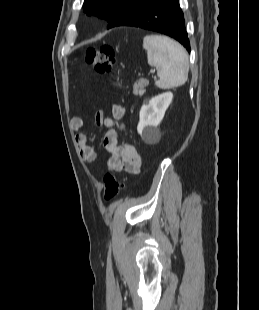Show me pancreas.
<instances>
[{
    "label": "pancreas",
    "instance_id": "obj_1",
    "mask_svg": "<svg viewBox=\"0 0 259 310\" xmlns=\"http://www.w3.org/2000/svg\"><path fill=\"white\" fill-rule=\"evenodd\" d=\"M148 81L144 78L138 79L133 85L134 95L142 96L145 93V87L148 85Z\"/></svg>",
    "mask_w": 259,
    "mask_h": 310
}]
</instances>
